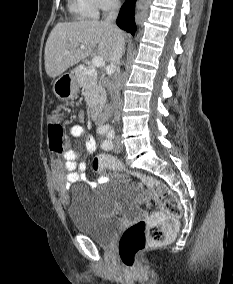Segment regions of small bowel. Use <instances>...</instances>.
<instances>
[{
  "label": "small bowel",
  "instance_id": "c3829d8e",
  "mask_svg": "<svg viewBox=\"0 0 233 284\" xmlns=\"http://www.w3.org/2000/svg\"><path fill=\"white\" fill-rule=\"evenodd\" d=\"M70 134L76 138H83L79 151L85 155H91L96 149L95 139L88 135L81 125H73L70 128ZM63 160L53 159L51 170L53 182L57 189L61 192L66 191L70 184L84 180L87 163L84 159L79 160L78 154L74 150H67L62 154ZM107 181L102 176L98 183ZM96 185V183H93Z\"/></svg>",
  "mask_w": 233,
  "mask_h": 284
}]
</instances>
